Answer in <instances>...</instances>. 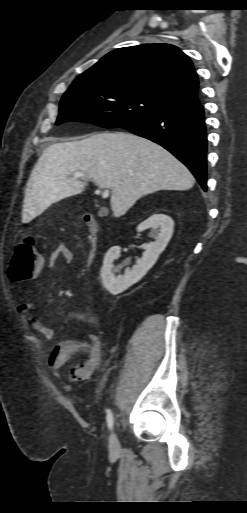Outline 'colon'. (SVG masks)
<instances>
[{"instance_id": "colon-1", "label": "colon", "mask_w": 247, "mask_h": 513, "mask_svg": "<svg viewBox=\"0 0 247 513\" xmlns=\"http://www.w3.org/2000/svg\"><path fill=\"white\" fill-rule=\"evenodd\" d=\"M41 262L35 253L32 239H25L19 243L9 265V278L13 282L31 279L41 270Z\"/></svg>"}]
</instances>
